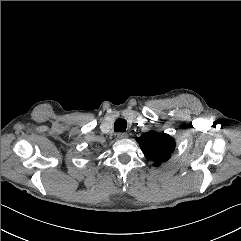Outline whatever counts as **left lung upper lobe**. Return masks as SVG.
<instances>
[{
    "label": "left lung upper lobe",
    "instance_id": "5c2ea615",
    "mask_svg": "<svg viewBox=\"0 0 241 241\" xmlns=\"http://www.w3.org/2000/svg\"><path fill=\"white\" fill-rule=\"evenodd\" d=\"M136 140L145 157L153 161L155 166H159L167 161L175 148V141L171 136L155 131L144 133Z\"/></svg>",
    "mask_w": 241,
    "mask_h": 241
}]
</instances>
